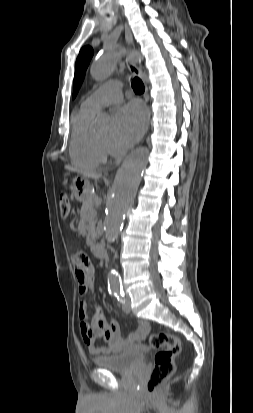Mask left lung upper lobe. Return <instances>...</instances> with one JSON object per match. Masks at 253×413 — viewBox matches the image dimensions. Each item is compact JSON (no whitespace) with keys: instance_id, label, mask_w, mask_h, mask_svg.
<instances>
[{"instance_id":"1","label":"left lung upper lobe","mask_w":253,"mask_h":413,"mask_svg":"<svg viewBox=\"0 0 253 413\" xmlns=\"http://www.w3.org/2000/svg\"><path fill=\"white\" fill-rule=\"evenodd\" d=\"M93 56V49L89 46L83 47L76 59L75 63V75L73 82V98L77 95V92L82 84L84 75L88 64Z\"/></svg>"}]
</instances>
